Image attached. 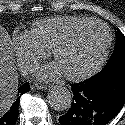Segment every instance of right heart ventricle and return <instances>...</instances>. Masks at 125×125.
Returning a JSON list of instances; mask_svg holds the SVG:
<instances>
[{"mask_svg":"<svg viewBox=\"0 0 125 125\" xmlns=\"http://www.w3.org/2000/svg\"><path fill=\"white\" fill-rule=\"evenodd\" d=\"M90 18L81 16H57L43 18L33 23L31 33L37 43L45 50H51L53 44L75 25Z\"/></svg>","mask_w":125,"mask_h":125,"instance_id":"obj_1","label":"right heart ventricle"}]
</instances>
